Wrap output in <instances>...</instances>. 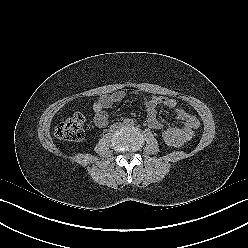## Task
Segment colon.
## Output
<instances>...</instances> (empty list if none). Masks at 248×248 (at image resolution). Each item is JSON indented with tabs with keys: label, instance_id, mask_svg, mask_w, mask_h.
<instances>
[{
	"label": "colon",
	"instance_id": "obj_1",
	"mask_svg": "<svg viewBox=\"0 0 248 248\" xmlns=\"http://www.w3.org/2000/svg\"><path fill=\"white\" fill-rule=\"evenodd\" d=\"M85 118L80 113L61 119L56 127V136L65 141H80L84 137ZM162 140L168 146L177 147L181 145L179 137L171 131L162 132Z\"/></svg>",
	"mask_w": 248,
	"mask_h": 248
}]
</instances>
